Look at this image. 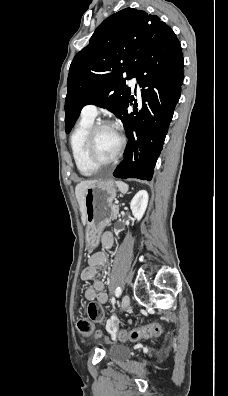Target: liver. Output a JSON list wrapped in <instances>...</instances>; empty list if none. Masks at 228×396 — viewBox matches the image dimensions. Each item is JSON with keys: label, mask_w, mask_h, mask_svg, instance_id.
<instances>
[{"label": "liver", "mask_w": 228, "mask_h": 396, "mask_svg": "<svg viewBox=\"0 0 228 396\" xmlns=\"http://www.w3.org/2000/svg\"><path fill=\"white\" fill-rule=\"evenodd\" d=\"M96 181L89 180V181H82L75 187V195L76 199L79 203L80 212H81V220L83 225L86 223V211H85V203H84V195L87 187Z\"/></svg>", "instance_id": "6515ba94"}]
</instances>
